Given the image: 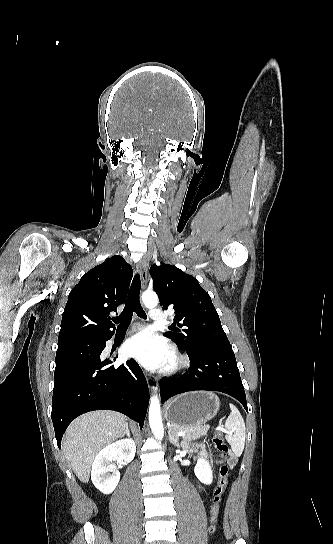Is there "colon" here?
<instances>
[{
	"instance_id": "obj_1",
	"label": "colon",
	"mask_w": 333,
	"mask_h": 544,
	"mask_svg": "<svg viewBox=\"0 0 333 544\" xmlns=\"http://www.w3.org/2000/svg\"><path fill=\"white\" fill-rule=\"evenodd\" d=\"M213 446L219 453L222 454V456H226L228 452V446L220 431H217L214 435ZM229 472H230L229 464L226 462H223L219 467V477H218L216 486L214 487V490H213L211 517H210V522H211L210 531L211 532H214L216 529L222 497L228 484Z\"/></svg>"
}]
</instances>
